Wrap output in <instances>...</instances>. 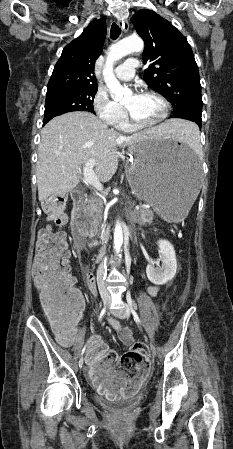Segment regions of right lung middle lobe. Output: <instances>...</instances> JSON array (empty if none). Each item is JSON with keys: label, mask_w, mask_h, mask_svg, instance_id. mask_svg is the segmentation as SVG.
I'll return each instance as SVG.
<instances>
[{"label": "right lung middle lobe", "mask_w": 233, "mask_h": 449, "mask_svg": "<svg viewBox=\"0 0 233 449\" xmlns=\"http://www.w3.org/2000/svg\"><path fill=\"white\" fill-rule=\"evenodd\" d=\"M97 87L85 89H64L46 95L43 124L53 117L71 111L94 113L93 100Z\"/></svg>", "instance_id": "right-lung-middle-lobe-1"}]
</instances>
